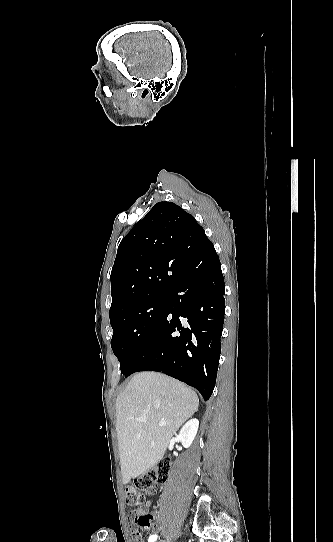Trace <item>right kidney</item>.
Segmentation results:
<instances>
[{"label": "right kidney", "mask_w": 333, "mask_h": 542, "mask_svg": "<svg viewBox=\"0 0 333 542\" xmlns=\"http://www.w3.org/2000/svg\"><path fill=\"white\" fill-rule=\"evenodd\" d=\"M198 426L199 422L194 418V420H189V422L183 426L182 430H180L178 438L184 448H190L198 432Z\"/></svg>", "instance_id": "obj_1"}]
</instances>
